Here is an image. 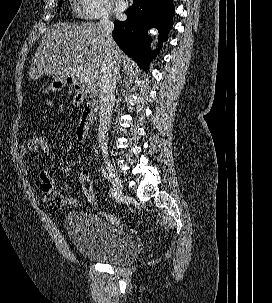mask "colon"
<instances>
[{
	"label": "colon",
	"mask_w": 272,
	"mask_h": 303,
	"mask_svg": "<svg viewBox=\"0 0 272 303\" xmlns=\"http://www.w3.org/2000/svg\"><path fill=\"white\" fill-rule=\"evenodd\" d=\"M33 149L35 154L45 156L51 150V144L45 136L37 135L33 137ZM79 181L85 197L93 204H97V198L94 194L93 184L86 169H82L79 173ZM45 202L49 208L53 210H62L67 204L68 200L58 191L53 190L44 196Z\"/></svg>",
	"instance_id": "colon-1"
}]
</instances>
